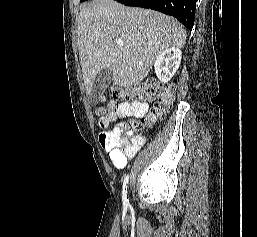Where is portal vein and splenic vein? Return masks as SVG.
Segmentation results:
<instances>
[{"label":"portal vein and splenic vein","mask_w":257,"mask_h":237,"mask_svg":"<svg viewBox=\"0 0 257 237\" xmlns=\"http://www.w3.org/2000/svg\"><path fill=\"white\" fill-rule=\"evenodd\" d=\"M117 45H118L119 47H123V42H122V41H118V42H117Z\"/></svg>","instance_id":"18ae733b"}]
</instances>
